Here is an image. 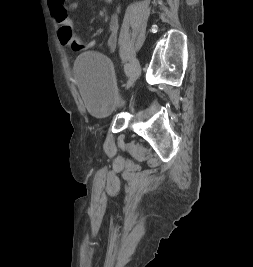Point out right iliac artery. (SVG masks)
<instances>
[{
    "label": "right iliac artery",
    "instance_id": "obj_1",
    "mask_svg": "<svg viewBox=\"0 0 253 267\" xmlns=\"http://www.w3.org/2000/svg\"><path fill=\"white\" fill-rule=\"evenodd\" d=\"M130 68H131L130 63H126L124 65V70H125V72H126L127 75H129V73H130Z\"/></svg>",
    "mask_w": 253,
    "mask_h": 267
}]
</instances>
